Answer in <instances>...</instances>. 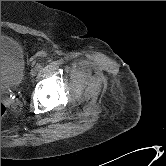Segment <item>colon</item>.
I'll return each mask as SVG.
<instances>
[{
	"instance_id": "5ec220e1",
	"label": "colon",
	"mask_w": 166,
	"mask_h": 166,
	"mask_svg": "<svg viewBox=\"0 0 166 166\" xmlns=\"http://www.w3.org/2000/svg\"><path fill=\"white\" fill-rule=\"evenodd\" d=\"M6 114V107L3 103H1V118Z\"/></svg>"
}]
</instances>
